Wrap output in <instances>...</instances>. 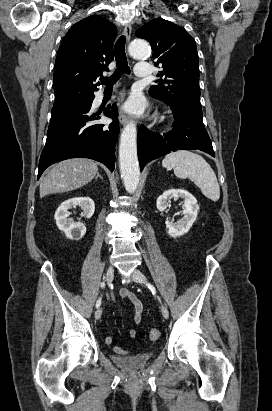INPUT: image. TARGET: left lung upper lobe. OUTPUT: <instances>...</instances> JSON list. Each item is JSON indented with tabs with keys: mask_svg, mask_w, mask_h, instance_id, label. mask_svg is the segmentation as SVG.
<instances>
[{
	"mask_svg": "<svg viewBox=\"0 0 272 411\" xmlns=\"http://www.w3.org/2000/svg\"><path fill=\"white\" fill-rule=\"evenodd\" d=\"M150 42L161 79L149 94L167 103L177 115L202 118L198 56L195 40L186 30L162 18L153 19L136 31Z\"/></svg>",
	"mask_w": 272,
	"mask_h": 411,
	"instance_id": "obj_1",
	"label": "left lung upper lobe"
}]
</instances>
